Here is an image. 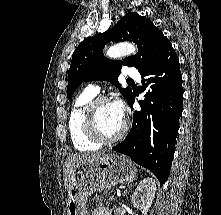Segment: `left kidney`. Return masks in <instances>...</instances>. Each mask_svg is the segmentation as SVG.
<instances>
[{
    "mask_svg": "<svg viewBox=\"0 0 221 215\" xmlns=\"http://www.w3.org/2000/svg\"><path fill=\"white\" fill-rule=\"evenodd\" d=\"M156 192V180L153 178L143 179L137 186L131 198L132 205L140 209L146 215L150 209Z\"/></svg>",
    "mask_w": 221,
    "mask_h": 215,
    "instance_id": "left-kidney-1",
    "label": "left kidney"
}]
</instances>
